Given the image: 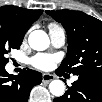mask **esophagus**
Wrapping results in <instances>:
<instances>
[{
	"label": "esophagus",
	"mask_w": 102,
	"mask_h": 102,
	"mask_svg": "<svg viewBox=\"0 0 102 102\" xmlns=\"http://www.w3.org/2000/svg\"><path fill=\"white\" fill-rule=\"evenodd\" d=\"M55 79V76L52 74H43L42 76V81L44 84H48L49 82H51L52 80Z\"/></svg>",
	"instance_id": "34e87169"
}]
</instances>
